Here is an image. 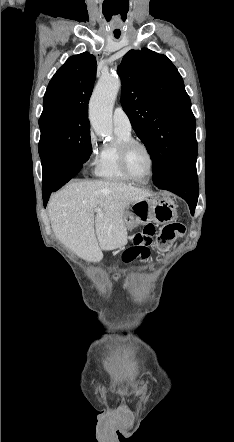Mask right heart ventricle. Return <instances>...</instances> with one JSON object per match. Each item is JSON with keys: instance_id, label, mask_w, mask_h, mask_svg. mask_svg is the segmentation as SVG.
<instances>
[{"instance_id": "1", "label": "right heart ventricle", "mask_w": 234, "mask_h": 442, "mask_svg": "<svg viewBox=\"0 0 234 442\" xmlns=\"http://www.w3.org/2000/svg\"><path fill=\"white\" fill-rule=\"evenodd\" d=\"M116 141L113 144L104 145L100 150L96 161L95 174L101 179L112 182L130 181L122 172L119 164V147L121 143L132 139L131 133L116 130Z\"/></svg>"}]
</instances>
